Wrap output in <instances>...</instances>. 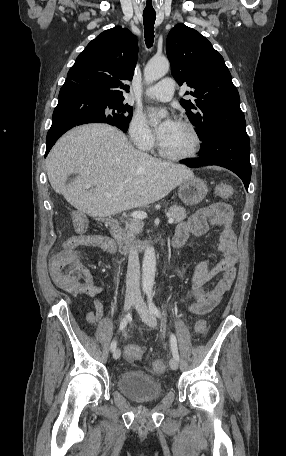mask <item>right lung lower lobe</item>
I'll use <instances>...</instances> for the list:
<instances>
[{"label": "right lung lower lobe", "instance_id": "98d812e1", "mask_svg": "<svg viewBox=\"0 0 286 456\" xmlns=\"http://www.w3.org/2000/svg\"><path fill=\"white\" fill-rule=\"evenodd\" d=\"M96 103V97L78 88H61L59 102L52 116V125L47 133L46 153L57 139L76 125L90 123L87 118L89 107Z\"/></svg>", "mask_w": 286, "mask_h": 456}]
</instances>
